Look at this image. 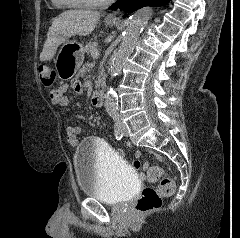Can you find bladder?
Instances as JSON below:
<instances>
[{"instance_id": "obj_1", "label": "bladder", "mask_w": 240, "mask_h": 238, "mask_svg": "<svg viewBox=\"0 0 240 238\" xmlns=\"http://www.w3.org/2000/svg\"><path fill=\"white\" fill-rule=\"evenodd\" d=\"M73 164L81 192L103 203H124L137 190L134 169L116 150L99 139L87 138L79 143Z\"/></svg>"}]
</instances>
